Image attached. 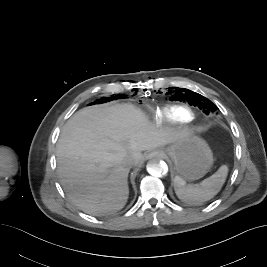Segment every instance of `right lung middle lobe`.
Here are the masks:
<instances>
[{"label":"right lung middle lobe","instance_id":"dd1d6c3e","mask_svg":"<svg viewBox=\"0 0 267 267\" xmlns=\"http://www.w3.org/2000/svg\"><path fill=\"white\" fill-rule=\"evenodd\" d=\"M125 96L123 95H116L114 97H109V98H101V100H97L95 101V103H103V102H107V101H110V100H114V99H118V98H124Z\"/></svg>","mask_w":267,"mask_h":267}]
</instances>
